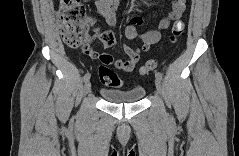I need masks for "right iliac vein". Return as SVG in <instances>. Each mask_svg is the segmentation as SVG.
<instances>
[{"instance_id": "right-iliac-vein-1", "label": "right iliac vein", "mask_w": 239, "mask_h": 156, "mask_svg": "<svg viewBox=\"0 0 239 156\" xmlns=\"http://www.w3.org/2000/svg\"><path fill=\"white\" fill-rule=\"evenodd\" d=\"M83 92H84L85 95L91 92V83H90V81H87L85 83Z\"/></svg>"}]
</instances>
